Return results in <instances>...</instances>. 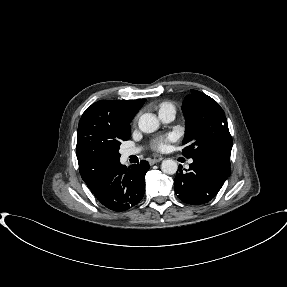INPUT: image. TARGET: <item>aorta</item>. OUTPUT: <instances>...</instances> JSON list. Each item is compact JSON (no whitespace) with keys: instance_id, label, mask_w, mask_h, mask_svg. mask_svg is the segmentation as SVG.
Instances as JSON below:
<instances>
[{"instance_id":"1","label":"aorta","mask_w":287,"mask_h":287,"mask_svg":"<svg viewBox=\"0 0 287 287\" xmlns=\"http://www.w3.org/2000/svg\"><path fill=\"white\" fill-rule=\"evenodd\" d=\"M139 129L144 133H153L159 128V120L152 113L143 114L138 121ZM178 169L177 162L172 159L163 160L161 170L163 173L173 175Z\"/></svg>"}]
</instances>
